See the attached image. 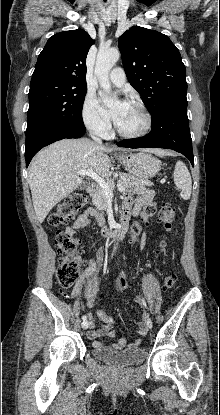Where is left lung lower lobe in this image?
<instances>
[{"instance_id":"0a47b994","label":"left lung lower lobe","mask_w":220,"mask_h":415,"mask_svg":"<svg viewBox=\"0 0 220 415\" xmlns=\"http://www.w3.org/2000/svg\"><path fill=\"white\" fill-rule=\"evenodd\" d=\"M151 116L152 129L148 135L123 140L118 142V146L172 149L186 156L193 166L194 157L187 116V99L166 103Z\"/></svg>"}]
</instances>
